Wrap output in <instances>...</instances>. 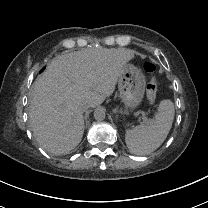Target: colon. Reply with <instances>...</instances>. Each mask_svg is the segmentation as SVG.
<instances>
[{
    "mask_svg": "<svg viewBox=\"0 0 208 208\" xmlns=\"http://www.w3.org/2000/svg\"><path fill=\"white\" fill-rule=\"evenodd\" d=\"M143 68L145 72L149 75V79L146 85V95L149 103H154L156 92H157V81L155 77L156 65L148 60L144 63Z\"/></svg>",
    "mask_w": 208,
    "mask_h": 208,
    "instance_id": "5ec220e1",
    "label": "colon"
}]
</instances>
